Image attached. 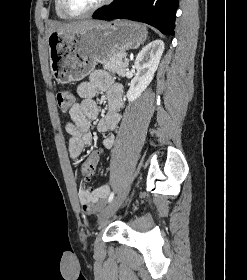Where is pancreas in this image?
<instances>
[{
  "mask_svg": "<svg viewBox=\"0 0 247 280\" xmlns=\"http://www.w3.org/2000/svg\"><path fill=\"white\" fill-rule=\"evenodd\" d=\"M123 58V52L116 53L112 55L108 60L103 62V67L113 73L118 74L121 77H124L128 63L123 61Z\"/></svg>",
  "mask_w": 247,
  "mask_h": 280,
  "instance_id": "1",
  "label": "pancreas"
}]
</instances>
